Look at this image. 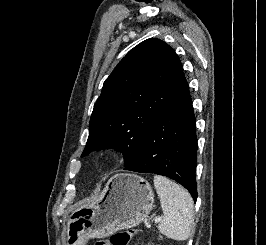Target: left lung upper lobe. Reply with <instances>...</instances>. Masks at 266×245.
Returning <instances> with one entry per match:
<instances>
[{
    "mask_svg": "<svg viewBox=\"0 0 266 245\" xmlns=\"http://www.w3.org/2000/svg\"><path fill=\"white\" fill-rule=\"evenodd\" d=\"M184 79L181 61L165 42L150 38L133 48L104 82L81 157L114 148L123 153L128 167L146 131Z\"/></svg>",
    "mask_w": 266,
    "mask_h": 245,
    "instance_id": "left-lung-upper-lobe-1",
    "label": "left lung upper lobe"
}]
</instances>
